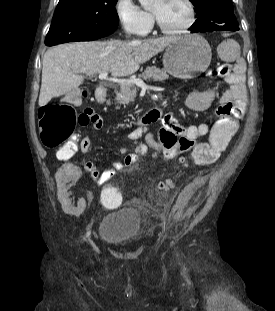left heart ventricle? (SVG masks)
Returning <instances> with one entry per match:
<instances>
[{
	"mask_svg": "<svg viewBox=\"0 0 275 311\" xmlns=\"http://www.w3.org/2000/svg\"><path fill=\"white\" fill-rule=\"evenodd\" d=\"M151 12L169 29L183 26L189 18L188 8L183 0H155Z\"/></svg>",
	"mask_w": 275,
	"mask_h": 311,
	"instance_id": "b2bd125f",
	"label": "left heart ventricle"
}]
</instances>
